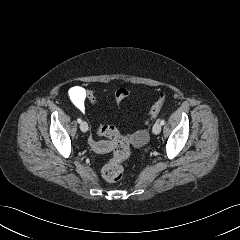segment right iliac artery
I'll list each match as a JSON object with an SVG mask.
<instances>
[{"label": "right iliac artery", "mask_w": 240, "mask_h": 240, "mask_svg": "<svg viewBox=\"0 0 240 240\" xmlns=\"http://www.w3.org/2000/svg\"><path fill=\"white\" fill-rule=\"evenodd\" d=\"M77 122H78V123H81V122H82V120H81L80 118H78V119H77Z\"/></svg>", "instance_id": "1"}]
</instances>
